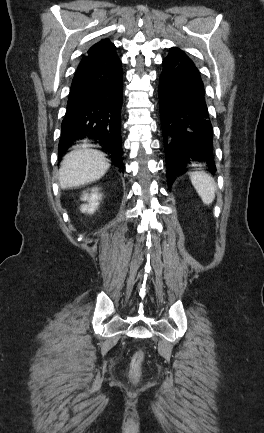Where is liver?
I'll list each match as a JSON object with an SVG mask.
<instances>
[{
    "label": "liver",
    "instance_id": "6515ba94",
    "mask_svg": "<svg viewBox=\"0 0 264 433\" xmlns=\"http://www.w3.org/2000/svg\"><path fill=\"white\" fill-rule=\"evenodd\" d=\"M83 144L67 154L59 169L62 189L76 188L94 182L105 175L110 167L105 154Z\"/></svg>",
    "mask_w": 264,
    "mask_h": 433
}]
</instances>
